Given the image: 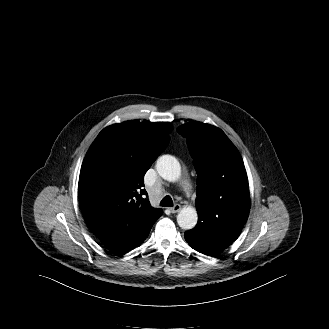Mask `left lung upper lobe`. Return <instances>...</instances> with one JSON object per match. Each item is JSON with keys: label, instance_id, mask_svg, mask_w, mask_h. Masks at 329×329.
<instances>
[{"label": "left lung upper lobe", "instance_id": "1", "mask_svg": "<svg viewBox=\"0 0 329 329\" xmlns=\"http://www.w3.org/2000/svg\"><path fill=\"white\" fill-rule=\"evenodd\" d=\"M186 137L197 177L199 236L212 238L229 226L243 227L250 210L246 170L236 147L219 128L189 122L177 129Z\"/></svg>", "mask_w": 329, "mask_h": 329}]
</instances>
